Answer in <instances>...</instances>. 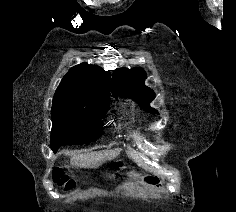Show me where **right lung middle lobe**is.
Returning <instances> with one entry per match:
<instances>
[{
  "label": "right lung middle lobe",
  "mask_w": 236,
  "mask_h": 212,
  "mask_svg": "<svg viewBox=\"0 0 236 212\" xmlns=\"http://www.w3.org/2000/svg\"><path fill=\"white\" fill-rule=\"evenodd\" d=\"M110 100L99 101L93 107L52 105L51 148L54 153L62 145L94 142L102 135L104 118Z\"/></svg>",
  "instance_id": "dd1d6c3e"
}]
</instances>
